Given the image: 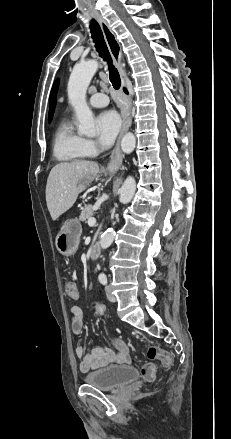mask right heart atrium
Returning a JSON list of instances; mask_svg holds the SVG:
<instances>
[{
    "label": "right heart atrium",
    "instance_id": "1",
    "mask_svg": "<svg viewBox=\"0 0 231 439\" xmlns=\"http://www.w3.org/2000/svg\"><path fill=\"white\" fill-rule=\"evenodd\" d=\"M83 147L87 155H93L97 151L94 141L90 139H83Z\"/></svg>",
    "mask_w": 231,
    "mask_h": 439
}]
</instances>
